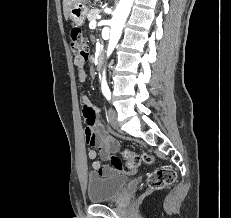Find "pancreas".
<instances>
[{
    "label": "pancreas",
    "mask_w": 231,
    "mask_h": 218,
    "mask_svg": "<svg viewBox=\"0 0 231 218\" xmlns=\"http://www.w3.org/2000/svg\"><path fill=\"white\" fill-rule=\"evenodd\" d=\"M100 13V10L97 8L91 9L87 14V18L89 21L96 20V16Z\"/></svg>",
    "instance_id": "cf45deb5"
}]
</instances>
